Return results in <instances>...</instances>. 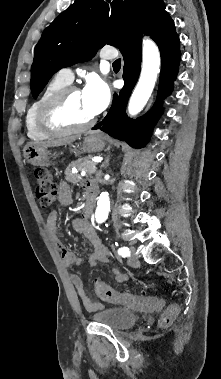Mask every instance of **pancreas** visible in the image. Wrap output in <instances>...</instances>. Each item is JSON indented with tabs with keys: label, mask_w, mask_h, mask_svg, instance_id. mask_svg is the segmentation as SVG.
I'll return each instance as SVG.
<instances>
[{
	"label": "pancreas",
	"mask_w": 221,
	"mask_h": 379,
	"mask_svg": "<svg viewBox=\"0 0 221 379\" xmlns=\"http://www.w3.org/2000/svg\"><path fill=\"white\" fill-rule=\"evenodd\" d=\"M76 167L80 171H85L86 177L90 176L93 172V168L96 167V163L89 160V158H80L76 161H72L65 170V179L71 183H78L81 180L79 174L72 173L71 169Z\"/></svg>",
	"instance_id": "1"
}]
</instances>
